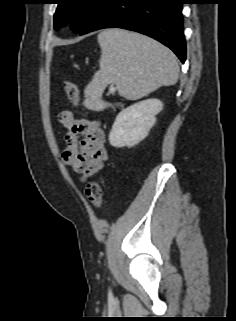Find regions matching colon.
Masks as SVG:
<instances>
[{
	"label": "colon",
	"mask_w": 236,
	"mask_h": 321,
	"mask_svg": "<svg viewBox=\"0 0 236 321\" xmlns=\"http://www.w3.org/2000/svg\"><path fill=\"white\" fill-rule=\"evenodd\" d=\"M62 87L68 99L73 105H77L79 98V91L77 85L70 81L64 80ZM85 194L87 200L98 210L101 209L103 204V189L100 182L91 180L86 184Z\"/></svg>",
	"instance_id": "obj_1"
}]
</instances>
